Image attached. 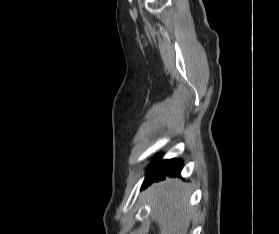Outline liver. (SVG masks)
I'll return each instance as SVG.
<instances>
[{"mask_svg":"<svg viewBox=\"0 0 279 234\" xmlns=\"http://www.w3.org/2000/svg\"><path fill=\"white\" fill-rule=\"evenodd\" d=\"M148 192L152 195L159 234H187L191 211L180 183L168 180L152 185Z\"/></svg>","mask_w":279,"mask_h":234,"instance_id":"liver-1","label":"liver"}]
</instances>
